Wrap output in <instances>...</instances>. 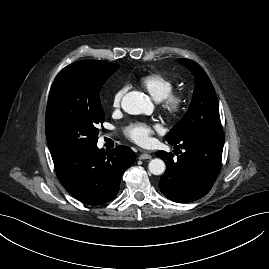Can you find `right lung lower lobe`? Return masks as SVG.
Segmentation results:
<instances>
[{"instance_id": "right-lung-lower-lobe-1", "label": "right lung lower lobe", "mask_w": 269, "mask_h": 269, "mask_svg": "<svg viewBox=\"0 0 269 269\" xmlns=\"http://www.w3.org/2000/svg\"><path fill=\"white\" fill-rule=\"evenodd\" d=\"M135 159L127 146H117L109 153L93 145L53 162L59 181L73 197L100 205L117 195L121 177Z\"/></svg>"}]
</instances>
